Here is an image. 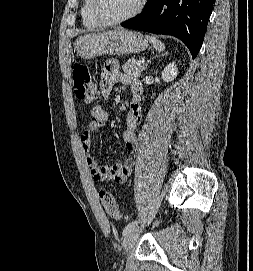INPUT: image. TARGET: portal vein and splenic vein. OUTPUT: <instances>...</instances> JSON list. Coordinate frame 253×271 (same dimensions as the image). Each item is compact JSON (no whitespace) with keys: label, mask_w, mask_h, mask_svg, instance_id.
<instances>
[{"label":"portal vein and splenic vein","mask_w":253,"mask_h":271,"mask_svg":"<svg viewBox=\"0 0 253 271\" xmlns=\"http://www.w3.org/2000/svg\"><path fill=\"white\" fill-rule=\"evenodd\" d=\"M141 63H142L141 61H137V65H139V66H140V65H141Z\"/></svg>","instance_id":"18ae733b"}]
</instances>
